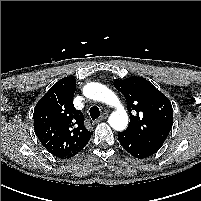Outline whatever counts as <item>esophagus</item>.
I'll list each match as a JSON object with an SVG mask.
<instances>
[{
  "instance_id": "1",
  "label": "esophagus",
  "mask_w": 201,
  "mask_h": 201,
  "mask_svg": "<svg viewBox=\"0 0 201 201\" xmlns=\"http://www.w3.org/2000/svg\"><path fill=\"white\" fill-rule=\"evenodd\" d=\"M107 117H108V113L107 112L103 113V115L99 119L96 120V123H99V122L105 120Z\"/></svg>"
}]
</instances>
